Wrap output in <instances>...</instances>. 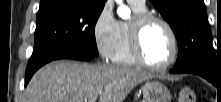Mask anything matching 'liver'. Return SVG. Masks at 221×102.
<instances>
[{
  "mask_svg": "<svg viewBox=\"0 0 221 102\" xmlns=\"http://www.w3.org/2000/svg\"><path fill=\"white\" fill-rule=\"evenodd\" d=\"M152 78L138 69L55 61L39 69L25 90V102H123L131 90Z\"/></svg>",
  "mask_w": 221,
  "mask_h": 102,
  "instance_id": "1",
  "label": "liver"
}]
</instances>
